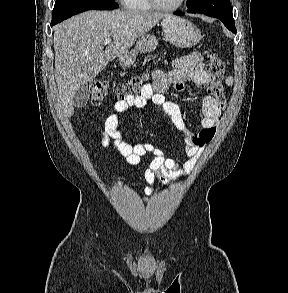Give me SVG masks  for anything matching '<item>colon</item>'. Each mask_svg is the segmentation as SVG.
I'll return each mask as SVG.
<instances>
[{"label": "colon", "mask_w": 288, "mask_h": 293, "mask_svg": "<svg viewBox=\"0 0 288 293\" xmlns=\"http://www.w3.org/2000/svg\"><path fill=\"white\" fill-rule=\"evenodd\" d=\"M224 62L215 54H208L207 72L209 76V93L213 95L221 107L225 106V97L223 89ZM147 74L134 76L119 84L115 88V96L118 100H125L130 96H135L146 85ZM108 93V84L105 81H96L91 86V102L100 104Z\"/></svg>", "instance_id": "colon-1"}]
</instances>
